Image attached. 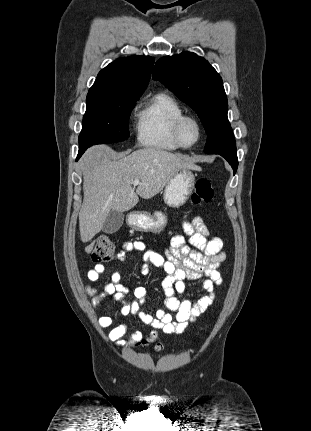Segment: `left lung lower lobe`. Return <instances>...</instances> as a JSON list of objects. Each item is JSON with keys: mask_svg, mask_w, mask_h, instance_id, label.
Wrapping results in <instances>:
<instances>
[{"mask_svg": "<svg viewBox=\"0 0 311 431\" xmlns=\"http://www.w3.org/2000/svg\"><path fill=\"white\" fill-rule=\"evenodd\" d=\"M219 155L227 160V162L232 166L235 174L238 167L237 153H219Z\"/></svg>", "mask_w": 311, "mask_h": 431, "instance_id": "obj_1", "label": "left lung lower lobe"}]
</instances>
